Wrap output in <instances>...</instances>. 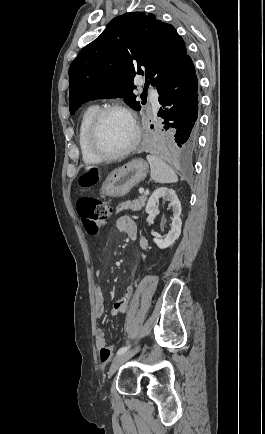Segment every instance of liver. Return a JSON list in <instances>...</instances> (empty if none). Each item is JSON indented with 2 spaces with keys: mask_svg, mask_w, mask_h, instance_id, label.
I'll use <instances>...</instances> for the list:
<instances>
[{
  "mask_svg": "<svg viewBox=\"0 0 265 434\" xmlns=\"http://www.w3.org/2000/svg\"><path fill=\"white\" fill-rule=\"evenodd\" d=\"M92 168H97V166H86L85 170H92Z\"/></svg>",
  "mask_w": 265,
  "mask_h": 434,
  "instance_id": "1",
  "label": "liver"
}]
</instances>
